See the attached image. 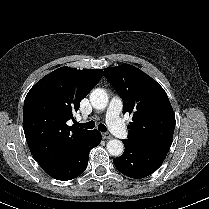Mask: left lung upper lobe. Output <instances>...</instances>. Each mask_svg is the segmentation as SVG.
<instances>
[{
    "instance_id": "left-lung-upper-lobe-1",
    "label": "left lung upper lobe",
    "mask_w": 209,
    "mask_h": 209,
    "mask_svg": "<svg viewBox=\"0 0 209 209\" xmlns=\"http://www.w3.org/2000/svg\"><path fill=\"white\" fill-rule=\"evenodd\" d=\"M104 76L122 97L123 113L132 115L127 140L143 148L168 153L175 114L164 89L132 65L106 68Z\"/></svg>"
}]
</instances>
